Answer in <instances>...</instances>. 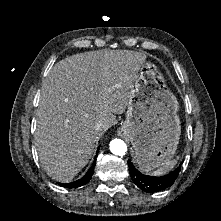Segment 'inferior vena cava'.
<instances>
[{
  "instance_id": "602c4592",
  "label": "inferior vena cava",
  "mask_w": 221,
  "mask_h": 221,
  "mask_svg": "<svg viewBox=\"0 0 221 221\" xmlns=\"http://www.w3.org/2000/svg\"><path fill=\"white\" fill-rule=\"evenodd\" d=\"M102 125H103V123L101 121L96 122V124L94 126L95 130H97V131L100 130Z\"/></svg>"
}]
</instances>
